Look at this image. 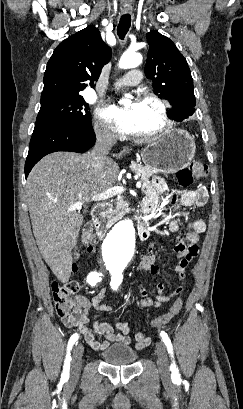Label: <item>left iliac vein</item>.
I'll list each match as a JSON object with an SVG mask.
<instances>
[{"instance_id": "1", "label": "left iliac vein", "mask_w": 243, "mask_h": 409, "mask_svg": "<svg viewBox=\"0 0 243 409\" xmlns=\"http://www.w3.org/2000/svg\"><path fill=\"white\" fill-rule=\"evenodd\" d=\"M157 363L160 374L163 378L169 377V361L166 347L162 342L156 343Z\"/></svg>"}]
</instances>
